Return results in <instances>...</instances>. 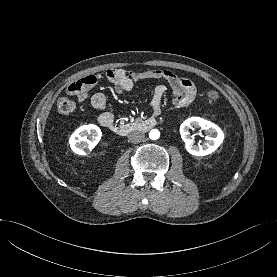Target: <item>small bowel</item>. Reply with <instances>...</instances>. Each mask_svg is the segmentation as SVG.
<instances>
[{
  "mask_svg": "<svg viewBox=\"0 0 277 277\" xmlns=\"http://www.w3.org/2000/svg\"><path fill=\"white\" fill-rule=\"evenodd\" d=\"M107 79L114 85L118 94L131 91L138 81L146 79H157L163 81L156 86L151 100V108L154 115H159L162 108V99L166 92L167 85L172 90V102L178 108L190 105L197 94L196 87L192 81L179 77L168 69H146L138 71H125L122 69H110L105 73L89 75L81 79L85 82V89L80 92L73 90L77 82L71 83L67 88L69 95H74L79 101H84L87 97V91L93 88L100 80ZM91 105L101 111L98 116V122L103 126L107 121H113L114 115L108 110L107 99L103 93H95L90 99Z\"/></svg>",
  "mask_w": 277,
  "mask_h": 277,
  "instance_id": "obj_1",
  "label": "small bowel"
}]
</instances>
